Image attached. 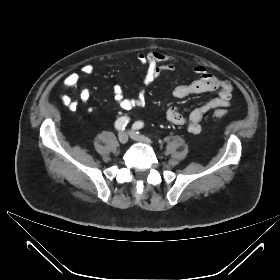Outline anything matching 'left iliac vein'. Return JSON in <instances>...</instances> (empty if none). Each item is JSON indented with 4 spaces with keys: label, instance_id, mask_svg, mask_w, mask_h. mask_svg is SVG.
I'll list each match as a JSON object with an SVG mask.
<instances>
[{
    "label": "left iliac vein",
    "instance_id": "obj_1",
    "mask_svg": "<svg viewBox=\"0 0 280 280\" xmlns=\"http://www.w3.org/2000/svg\"><path fill=\"white\" fill-rule=\"evenodd\" d=\"M129 135L132 139H134L135 141H138V142H143L145 144H151L152 141L147 138V137H143L142 135L138 134L137 132L135 131H130L129 132Z\"/></svg>",
    "mask_w": 280,
    "mask_h": 280
}]
</instances>
